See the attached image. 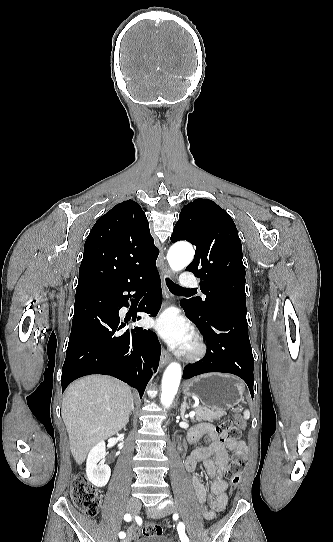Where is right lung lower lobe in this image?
Here are the masks:
<instances>
[{"instance_id":"obj_1","label":"right lung lower lobe","mask_w":333,"mask_h":542,"mask_svg":"<svg viewBox=\"0 0 333 542\" xmlns=\"http://www.w3.org/2000/svg\"><path fill=\"white\" fill-rule=\"evenodd\" d=\"M113 252L101 248L84 250L80 267L100 268L115 263ZM157 259V258H156ZM153 258H139L135 277L118 286L104 284L77 287L72 330L62 368V391L75 379L90 374L114 376L143 391L158 367L161 346L156 334L147 328H127L128 322L142 318L135 314L120 318L131 295L146 292L138 312L156 316L161 306V281Z\"/></svg>"}]
</instances>
